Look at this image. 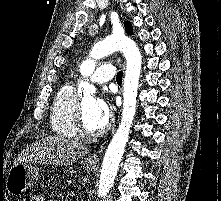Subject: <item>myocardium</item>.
Wrapping results in <instances>:
<instances>
[{
  "instance_id": "1",
  "label": "myocardium",
  "mask_w": 221,
  "mask_h": 201,
  "mask_svg": "<svg viewBox=\"0 0 221 201\" xmlns=\"http://www.w3.org/2000/svg\"><path fill=\"white\" fill-rule=\"evenodd\" d=\"M75 126L77 133L85 138H97L102 136L105 132H107L110 128V122L108 121L100 130L98 131H90L87 129L85 122H84V113L82 103L78 102L76 107V114H75Z\"/></svg>"
}]
</instances>
